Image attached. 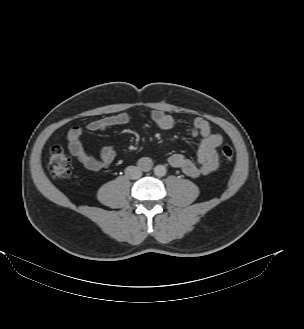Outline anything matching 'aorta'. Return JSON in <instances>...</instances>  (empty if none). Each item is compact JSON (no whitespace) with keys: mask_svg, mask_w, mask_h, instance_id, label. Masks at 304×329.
Listing matches in <instances>:
<instances>
[{"mask_svg":"<svg viewBox=\"0 0 304 329\" xmlns=\"http://www.w3.org/2000/svg\"><path fill=\"white\" fill-rule=\"evenodd\" d=\"M154 174L158 177H162L166 174V167L164 165H157L154 168Z\"/></svg>","mask_w":304,"mask_h":329,"instance_id":"1","label":"aorta"}]
</instances>
